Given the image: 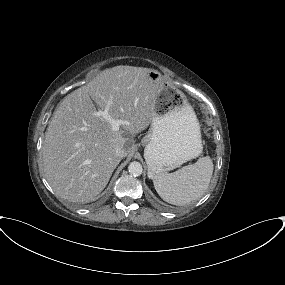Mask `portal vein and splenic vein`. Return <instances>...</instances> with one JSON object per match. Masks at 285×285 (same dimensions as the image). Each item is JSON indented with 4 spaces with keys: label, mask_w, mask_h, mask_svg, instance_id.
Listing matches in <instances>:
<instances>
[{
    "label": "portal vein and splenic vein",
    "mask_w": 285,
    "mask_h": 285,
    "mask_svg": "<svg viewBox=\"0 0 285 285\" xmlns=\"http://www.w3.org/2000/svg\"><path fill=\"white\" fill-rule=\"evenodd\" d=\"M94 115L102 116L107 122H109L111 124L113 131H118L120 128V125L126 123L124 121L117 120V119H114L113 117H111V115L108 112V109L99 110L96 113H94Z\"/></svg>",
    "instance_id": "18ae733b"
}]
</instances>
